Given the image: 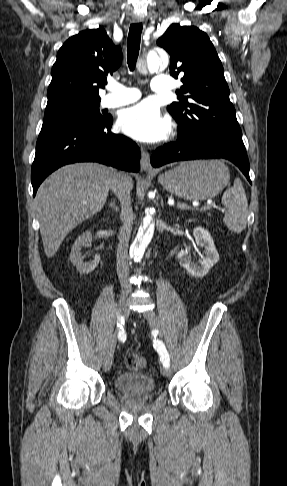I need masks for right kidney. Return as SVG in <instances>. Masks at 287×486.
I'll use <instances>...</instances> for the list:
<instances>
[{"instance_id":"ca27d5eb","label":"right kidney","mask_w":287,"mask_h":486,"mask_svg":"<svg viewBox=\"0 0 287 486\" xmlns=\"http://www.w3.org/2000/svg\"><path fill=\"white\" fill-rule=\"evenodd\" d=\"M91 241L92 234L90 231H86L81 234L76 239L69 257L70 261L77 268L78 272L83 275L91 273L97 267L100 261V255H95L94 259L89 262H85L84 257L81 255V248L89 245Z\"/></svg>"}]
</instances>
